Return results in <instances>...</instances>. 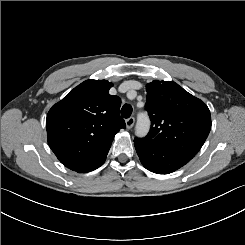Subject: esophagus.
Wrapping results in <instances>:
<instances>
[{"label": "esophagus", "instance_id": "34e87169", "mask_svg": "<svg viewBox=\"0 0 245 245\" xmlns=\"http://www.w3.org/2000/svg\"><path fill=\"white\" fill-rule=\"evenodd\" d=\"M126 127L127 129H131L134 125L135 119L134 117H129L128 119H126Z\"/></svg>", "mask_w": 245, "mask_h": 245}]
</instances>
